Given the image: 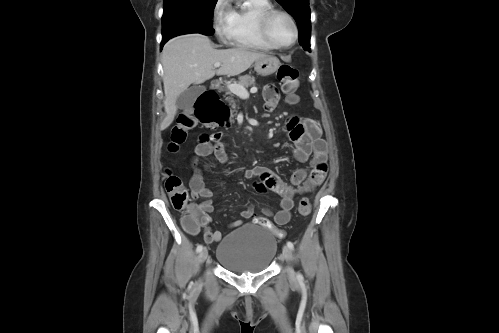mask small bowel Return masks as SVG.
Segmentation results:
<instances>
[{"instance_id":"c3829d8e","label":"small bowel","mask_w":499,"mask_h":333,"mask_svg":"<svg viewBox=\"0 0 499 333\" xmlns=\"http://www.w3.org/2000/svg\"><path fill=\"white\" fill-rule=\"evenodd\" d=\"M265 108L272 111L279 100L276 87L272 84L264 88ZM287 131L289 139L294 144V158L300 163H308L309 167L298 168L291 177V183L283 182L270 169L263 166H255L246 169L243 175L247 179L258 178L254 183V188L260 193L273 191L280 195L279 210L275 213L269 207L264 209L266 215L273 217L278 225H284L290 221L291 211L294 207V196L299 192L310 191L320 185L328 171V158L326 142L321 137L319 124L312 119H302L291 117L287 121ZM222 132H215L210 135H202L195 148L192 159V176L189 180L191 195L193 199L201 198L203 202L199 205L207 220L214 207L212 203V190L203 180L202 170L198 165V158L214 155L221 163L227 162V154L222 145ZM240 220L233 221L230 227H238L244 220L253 216V206L249 205L241 211ZM194 231L193 233H197ZM222 238L219 231H206L205 241L207 243L218 242Z\"/></svg>"}]
</instances>
